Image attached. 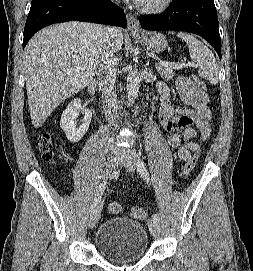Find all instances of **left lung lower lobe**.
Instances as JSON below:
<instances>
[{
  "mask_svg": "<svg viewBox=\"0 0 253 271\" xmlns=\"http://www.w3.org/2000/svg\"><path fill=\"white\" fill-rule=\"evenodd\" d=\"M147 30H180L200 35L221 59V39L213 0H172L168 10L159 15L139 17Z\"/></svg>",
  "mask_w": 253,
  "mask_h": 271,
  "instance_id": "obj_1",
  "label": "left lung lower lobe"
}]
</instances>
